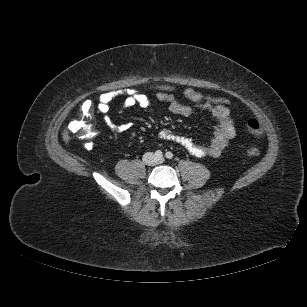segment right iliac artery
<instances>
[{
	"mask_svg": "<svg viewBox=\"0 0 307 307\" xmlns=\"http://www.w3.org/2000/svg\"><path fill=\"white\" fill-rule=\"evenodd\" d=\"M162 156H163V153H162L161 150H157V151L155 152V157H156L157 159L162 158Z\"/></svg>",
	"mask_w": 307,
	"mask_h": 307,
	"instance_id": "right-iliac-artery-1",
	"label": "right iliac artery"
}]
</instances>
